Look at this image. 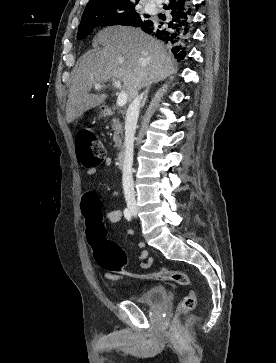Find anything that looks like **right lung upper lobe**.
Returning <instances> with one entry per match:
<instances>
[{
	"label": "right lung upper lobe",
	"mask_w": 276,
	"mask_h": 363,
	"mask_svg": "<svg viewBox=\"0 0 276 363\" xmlns=\"http://www.w3.org/2000/svg\"><path fill=\"white\" fill-rule=\"evenodd\" d=\"M110 1H126V2H135L138 3L139 0H90L89 3L87 4L86 7H89L91 5H95V4H99V3H104V2H110ZM146 16V15H145ZM146 18V17H145ZM146 21L150 22L149 20H144L142 22V24L140 25V27L143 25V23H145Z\"/></svg>",
	"instance_id": "1"
}]
</instances>
